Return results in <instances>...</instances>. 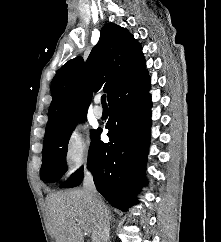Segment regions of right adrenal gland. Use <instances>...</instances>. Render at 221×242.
<instances>
[{
	"label": "right adrenal gland",
	"instance_id": "1",
	"mask_svg": "<svg viewBox=\"0 0 221 242\" xmlns=\"http://www.w3.org/2000/svg\"><path fill=\"white\" fill-rule=\"evenodd\" d=\"M112 219V216L110 215V220Z\"/></svg>",
	"mask_w": 221,
	"mask_h": 242
}]
</instances>
